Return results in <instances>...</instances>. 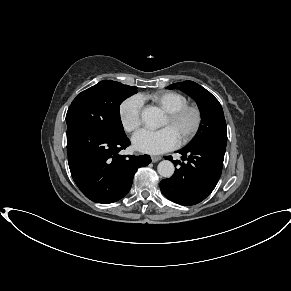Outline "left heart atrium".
Returning a JSON list of instances; mask_svg holds the SVG:
<instances>
[{"label":"left heart atrium","instance_id":"1","mask_svg":"<svg viewBox=\"0 0 291 291\" xmlns=\"http://www.w3.org/2000/svg\"><path fill=\"white\" fill-rule=\"evenodd\" d=\"M132 143L139 152L161 154L177 147L179 140L169 127H165L156 131L143 129L134 135Z\"/></svg>","mask_w":291,"mask_h":291}]
</instances>
